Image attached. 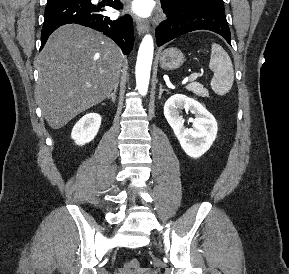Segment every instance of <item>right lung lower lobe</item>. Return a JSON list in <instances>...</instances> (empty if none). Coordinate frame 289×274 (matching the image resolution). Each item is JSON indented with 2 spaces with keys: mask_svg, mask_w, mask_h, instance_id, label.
I'll list each match as a JSON object with an SVG mask.
<instances>
[{
  "mask_svg": "<svg viewBox=\"0 0 289 274\" xmlns=\"http://www.w3.org/2000/svg\"><path fill=\"white\" fill-rule=\"evenodd\" d=\"M106 5L115 9L123 8L119 0H108ZM103 11L102 5L93 4L91 0H60L48 3L45 8L40 49L58 27L76 23L102 32L114 40L124 54H128L134 43L132 18L124 15L117 20H111L102 13Z\"/></svg>",
  "mask_w": 289,
  "mask_h": 274,
  "instance_id": "1",
  "label": "right lung lower lobe"
}]
</instances>
